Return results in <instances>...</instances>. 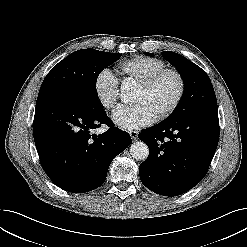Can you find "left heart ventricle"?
I'll list each match as a JSON object with an SVG mask.
<instances>
[{"mask_svg": "<svg viewBox=\"0 0 247 247\" xmlns=\"http://www.w3.org/2000/svg\"><path fill=\"white\" fill-rule=\"evenodd\" d=\"M179 89V81L174 74L163 75L150 88L138 86L134 95V102L145 101L157 113L167 108L175 99Z\"/></svg>", "mask_w": 247, "mask_h": 247, "instance_id": "b2bd125f", "label": "left heart ventricle"}]
</instances>
